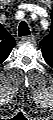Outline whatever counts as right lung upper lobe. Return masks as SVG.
<instances>
[{"mask_svg": "<svg viewBox=\"0 0 53 120\" xmlns=\"http://www.w3.org/2000/svg\"><path fill=\"white\" fill-rule=\"evenodd\" d=\"M0 40V62H3L9 56L12 48L16 46V41L3 27L0 29Z\"/></svg>", "mask_w": 53, "mask_h": 120, "instance_id": "1", "label": "right lung upper lobe"}]
</instances>
